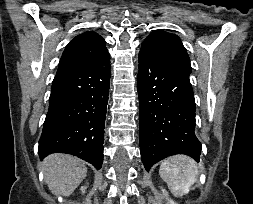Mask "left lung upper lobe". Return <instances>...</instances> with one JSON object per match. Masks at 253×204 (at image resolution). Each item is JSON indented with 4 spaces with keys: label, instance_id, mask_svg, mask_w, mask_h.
I'll use <instances>...</instances> for the list:
<instances>
[{
    "label": "left lung upper lobe",
    "instance_id": "1",
    "mask_svg": "<svg viewBox=\"0 0 253 204\" xmlns=\"http://www.w3.org/2000/svg\"><path fill=\"white\" fill-rule=\"evenodd\" d=\"M141 50L148 51L191 73L190 59L180 38L163 30L152 32L142 43Z\"/></svg>",
    "mask_w": 253,
    "mask_h": 204
}]
</instances>
